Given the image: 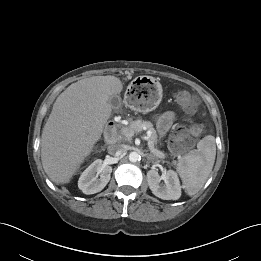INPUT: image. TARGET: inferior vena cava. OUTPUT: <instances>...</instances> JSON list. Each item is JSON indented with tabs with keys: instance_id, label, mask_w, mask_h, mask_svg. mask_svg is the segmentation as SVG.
Instances as JSON below:
<instances>
[{
	"instance_id": "602c4592",
	"label": "inferior vena cava",
	"mask_w": 261,
	"mask_h": 261,
	"mask_svg": "<svg viewBox=\"0 0 261 261\" xmlns=\"http://www.w3.org/2000/svg\"><path fill=\"white\" fill-rule=\"evenodd\" d=\"M108 152L111 155H115V156H121L123 153L126 152V147L124 145L121 144H115V145H111L108 147Z\"/></svg>"
}]
</instances>
